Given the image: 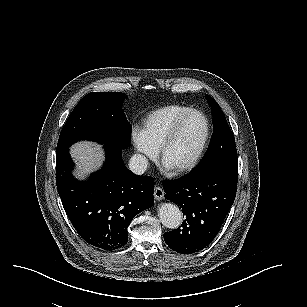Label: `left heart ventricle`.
Returning <instances> with one entry per match:
<instances>
[{
    "label": "left heart ventricle",
    "mask_w": 307,
    "mask_h": 307,
    "mask_svg": "<svg viewBox=\"0 0 307 307\" xmlns=\"http://www.w3.org/2000/svg\"><path fill=\"white\" fill-rule=\"evenodd\" d=\"M201 139V130L198 118L192 115L191 119L178 127L174 142L167 149L166 157L175 162H185L189 160L197 150Z\"/></svg>",
    "instance_id": "b2bd125f"
}]
</instances>
